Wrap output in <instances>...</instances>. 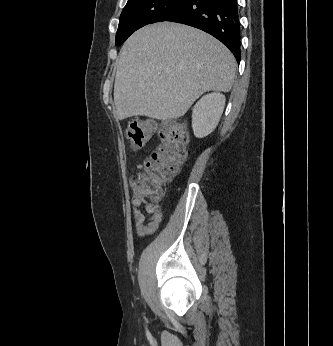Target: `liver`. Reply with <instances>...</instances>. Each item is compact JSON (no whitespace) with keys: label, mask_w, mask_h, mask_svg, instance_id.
<instances>
[{"label":"liver","mask_w":333,"mask_h":346,"mask_svg":"<svg viewBox=\"0 0 333 346\" xmlns=\"http://www.w3.org/2000/svg\"><path fill=\"white\" fill-rule=\"evenodd\" d=\"M235 72L232 53L199 29L168 22L143 27L119 53L116 116L177 119L203 93L229 92Z\"/></svg>","instance_id":"1"}]
</instances>
